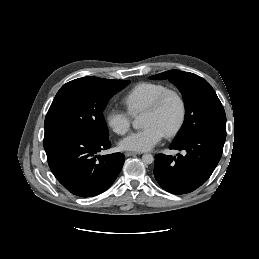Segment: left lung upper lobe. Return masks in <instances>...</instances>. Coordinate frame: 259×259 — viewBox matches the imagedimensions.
I'll list each match as a JSON object with an SVG mask.
<instances>
[{
  "label": "left lung upper lobe",
  "instance_id": "1",
  "mask_svg": "<svg viewBox=\"0 0 259 259\" xmlns=\"http://www.w3.org/2000/svg\"><path fill=\"white\" fill-rule=\"evenodd\" d=\"M150 79H168L180 90L186 108L184 124L173 143H180L203 130L226 132L224 108L211 85L202 77L180 70H169Z\"/></svg>",
  "mask_w": 259,
  "mask_h": 259
}]
</instances>
